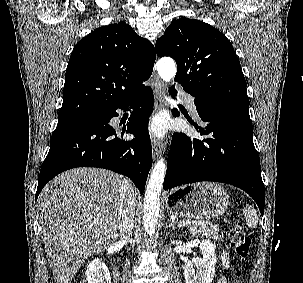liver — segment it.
<instances>
[{
  "label": "liver",
  "mask_w": 303,
  "mask_h": 283,
  "mask_svg": "<svg viewBox=\"0 0 303 283\" xmlns=\"http://www.w3.org/2000/svg\"><path fill=\"white\" fill-rule=\"evenodd\" d=\"M123 178L108 170L75 168L51 180L38 197L42 241L57 283H71L91 255L117 238ZM134 198L137 192L133 189Z\"/></svg>",
  "instance_id": "6515ba94"
}]
</instances>
